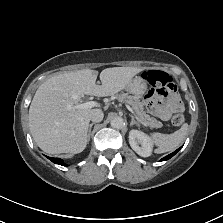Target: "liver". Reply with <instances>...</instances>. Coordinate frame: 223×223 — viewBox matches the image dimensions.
<instances>
[{
	"label": "liver",
	"instance_id": "1",
	"mask_svg": "<svg viewBox=\"0 0 223 223\" xmlns=\"http://www.w3.org/2000/svg\"><path fill=\"white\" fill-rule=\"evenodd\" d=\"M136 67H114L100 74L79 70L51 77L37 90L29 110L31 134L38 146L49 154L82 152L86 144L91 108L74 110L84 94L112 95L126 88L130 79L142 71Z\"/></svg>",
	"mask_w": 223,
	"mask_h": 223
}]
</instances>
